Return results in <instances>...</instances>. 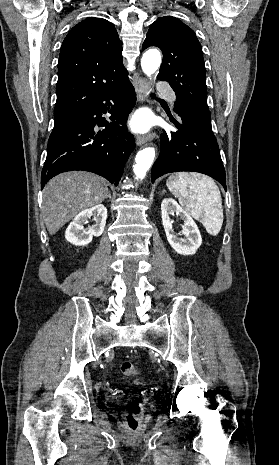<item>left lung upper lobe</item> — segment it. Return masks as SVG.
I'll return each instance as SVG.
<instances>
[{"label":"left lung upper lobe","mask_w":279,"mask_h":465,"mask_svg":"<svg viewBox=\"0 0 279 465\" xmlns=\"http://www.w3.org/2000/svg\"><path fill=\"white\" fill-rule=\"evenodd\" d=\"M150 46L162 50L158 79L168 81L175 91L176 113L211 126L202 48L194 31L175 17H160L150 26L143 49Z\"/></svg>","instance_id":"1"}]
</instances>
